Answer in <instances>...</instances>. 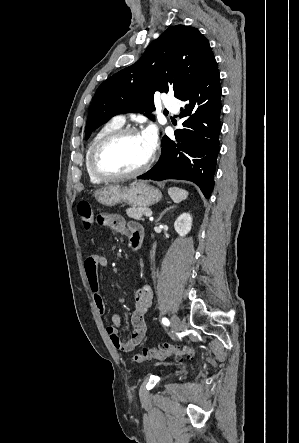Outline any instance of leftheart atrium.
<instances>
[{
	"mask_svg": "<svg viewBox=\"0 0 299 443\" xmlns=\"http://www.w3.org/2000/svg\"><path fill=\"white\" fill-rule=\"evenodd\" d=\"M142 136L147 144L149 154L153 153L157 145V132L154 126H148Z\"/></svg>",
	"mask_w": 299,
	"mask_h": 443,
	"instance_id": "39dd6f15",
	"label": "left heart atrium"
}]
</instances>
